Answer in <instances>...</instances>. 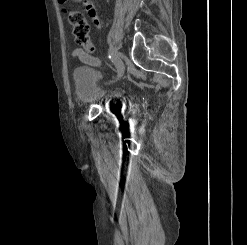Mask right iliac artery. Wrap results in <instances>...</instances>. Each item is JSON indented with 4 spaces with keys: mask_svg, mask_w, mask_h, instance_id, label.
Instances as JSON below:
<instances>
[{
    "mask_svg": "<svg viewBox=\"0 0 247 245\" xmlns=\"http://www.w3.org/2000/svg\"><path fill=\"white\" fill-rule=\"evenodd\" d=\"M107 57H108V59H109L110 57H113L112 53H111V52H108Z\"/></svg>",
    "mask_w": 247,
    "mask_h": 245,
    "instance_id": "82829eb1",
    "label": "right iliac artery"
}]
</instances>
